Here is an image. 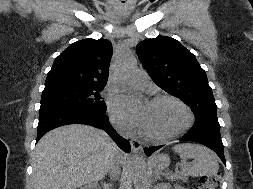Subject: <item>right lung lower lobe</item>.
I'll use <instances>...</instances> for the list:
<instances>
[{
    "instance_id": "98d812e1",
    "label": "right lung lower lobe",
    "mask_w": 253,
    "mask_h": 189,
    "mask_svg": "<svg viewBox=\"0 0 253 189\" xmlns=\"http://www.w3.org/2000/svg\"><path fill=\"white\" fill-rule=\"evenodd\" d=\"M67 124H87L100 127L123 150L126 152L130 151L129 142L116 133L105 113L62 106L40 107L36 142L49 130Z\"/></svg>"
}]
</instances>
